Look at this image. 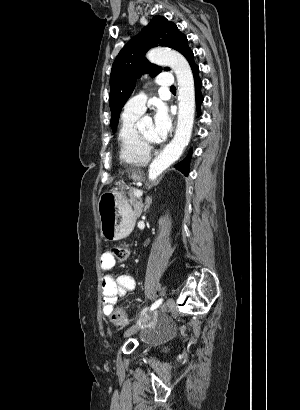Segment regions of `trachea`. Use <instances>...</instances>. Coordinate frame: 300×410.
Wrapping results in <instances>:
<instances>
[{"mask_svg": "<svg viewBox=\"0 0 300 410\" xmlns=\"http://www.w3.org/2000/svg\"><path fill=\"white\" fill-rule=\"evenodd\" d=\"M170 90L171 91H176V88L174 86H171Z\"/></svg>", "mask_w": 300, "mask_h": 410, "instance_id": "3493384b", "label": "trachea"}]
</instances>
